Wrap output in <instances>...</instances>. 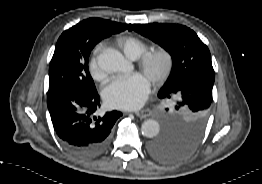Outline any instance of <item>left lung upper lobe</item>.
I'll use <instances>...</instances> for the list:
<instances>
[{"mask_svg":"<svg viewBox=\"0 0 262 184\" xmlns=\"http://www.w3.org/2000/svg\"><path fill=\"white\" fill-rule=\"evenodd\" d=\"M130 29L149 37L174 56V68L158 96L180 97L175 110L184 118L182 139L192 145L197 143L204 134L212 103L214 70L208 47L183 25L134 24Z\"/></svg>","mask_w":262,"mask_h":184,"instance_id":"1","label":"left lung upper lobe"}]
</instances>
